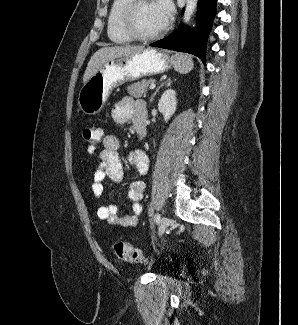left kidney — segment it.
Wrapping results in <instances>:
<instances>
[{
    "label": "left kidney",
    "mask_w": 298,
    "mask_h": 325,
    "mask_svg": "<svg viewBox=\"0 0 298 325\" xmlns=\"http://www.w3.org/2000/svg\"><path fill=\"white\" fill-rule=\"evenodd\" d=\"M177 104V90H174V88H167V90H164L158 100L157 106L159 112L163 114L165 122H168L169 118L175 114Z\"/></svg>",
    "instance_id": "left-kidney-1"
}]
</instances>
